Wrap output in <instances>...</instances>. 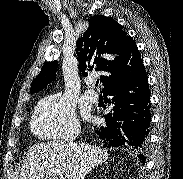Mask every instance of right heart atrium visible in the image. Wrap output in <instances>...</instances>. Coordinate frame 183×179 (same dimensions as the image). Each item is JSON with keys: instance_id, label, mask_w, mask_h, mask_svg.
Listing matches in <instances>:
<instances>
[{"instance_id": "d8ad5b80", "label": "right heart atrium", "mask_w": 183, "mask_h": 179, "mask_svg": "<svg viewBox=\"0 0 183 179\" xmlns=\"http://www.w3.org/2000/svg\"><path fill=\"white\" fill-rule=\"evenodd\" d=\"M31 125L37 135L47 139L68 137L79 130L73 102L60 93L49 95L37 104Z\"/></svg>"}]
</instances>
